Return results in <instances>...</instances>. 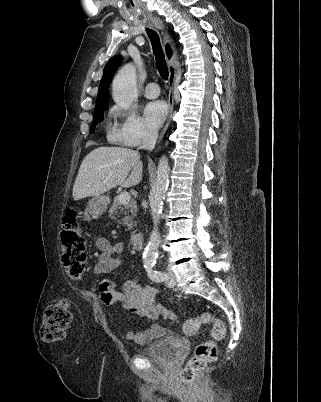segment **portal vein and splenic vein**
<instances>
[{"instance_id":"1","label":"portal vein and splenic vein","mask_w":321,"mask_h":402,"mask_svg":"<svg viewBox=\"0 0 321 402\" xmlns=\"http://www.w3.org/2000/svg\"><path fill=\"white\" fill-rule=\"evenodd\" d=\"M130 199H131V196H130V194H129L128 192H122V193L119 195V200H120V202H121L122 204L128 203V202L130 201Z\"/></svg>"}]
</instances>
